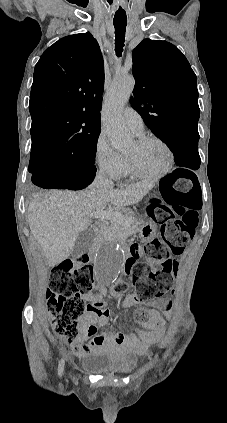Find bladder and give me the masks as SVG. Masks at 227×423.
Wrapping results in <instances>:
<instances>
[{"mask_svg":"<svg viewBox=\"0 0 227 423\" xmlns=\"http://www.w3.org/2000/svg\"><path fill=\"white\" fill-rule=\"evenodd\" d=\"M136 356L132 353L110 356L97 354L90 357L89 369L96 372H129L134 369Z\"/></svg>","mask_w":227,"mask_h":423,"instance_id":"bladder-1","label":"bladder"}]
</instances>
